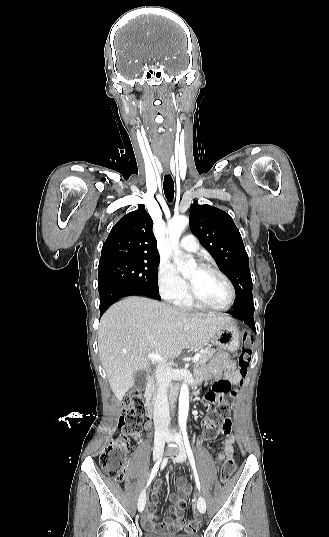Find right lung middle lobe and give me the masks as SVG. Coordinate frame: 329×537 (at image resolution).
<instances>
[{"instance_id":"1","label":"right lung middle lobe","mask_w":329,"mask_h":537,"mask_svg":"<svg viewBox=\"0 0 329 537\" xmlns=\"http://www.w3.org/2000/svg\"><path fill=\"white\" fill-rule=\"evenodd\" d=\"M158 265L159 258L101 264L98 266V285L117 283L159 292Z\"/></svg>"}]
</instances>
